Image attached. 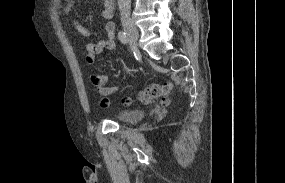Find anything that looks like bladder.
<instances>
[{
	"instance_id": "1",
	"label": "bladder",
	"mask_w": 285,
	"mask_h": 183,
	"mask_svg": "<svg viewBox=\"0 0 285 183\" xmlns=\"http://www.w3.org/2000/svg\"><path fill=\"white\" fill-rule=\"evenodd\" d=\"M112 114L118 121L123 123H135L144 117V111L140 109H117Z\"/></svg>"
}]
</instances>
